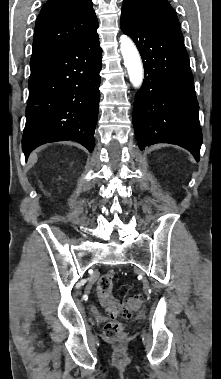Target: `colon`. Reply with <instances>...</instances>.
<instances>
[{
	"label": "colon",
	"mask_w": 221,
	"mask_h": 379,
	"mask_svg": "<svg viewBox=\"0 0 221 379\" xmlns=\"http://www.w3.org/2000/svg\"><path fill=\"white\" fill-rule=\"evenodd\" d=\"M112 288L113 274H103L98 280L97 292L101 305L106 307L110 314L129 316L138 309L142 300L139 295L117 300L111 295ZM104 336L112 341L124 339L126 336L125 327L118 321H109L104 326Z\"/></svg>",
	"instance_id": "obj_1"
}]
</instances>
